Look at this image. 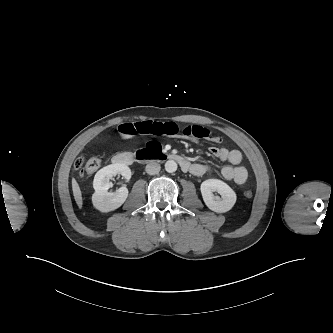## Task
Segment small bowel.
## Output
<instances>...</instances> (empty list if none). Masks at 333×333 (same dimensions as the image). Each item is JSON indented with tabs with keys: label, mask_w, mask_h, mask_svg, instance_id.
Instances as JSON below:
<instances>
[{
	"label": "small bowel",
	"mask_w": 333,
	"mask_h": 333,
	"mask_svg": "<svg viewBox=\"0 0 333 333\" xmlns=\"http://www.w3.org/2000/svg\"><path fill=\"white\" fill-rule=\"evenodd\" d=\"M117 134L124 140L132 139L138 135H165L169 137L182 138L194 143L200 139H206L214 143L221 141L220 136L212 133L209 129L199 125L180 126L174 122L144 121L122 124L117 128ZM210 153L221 161H228L230 165L221 169V175L225 180L234 181L242 185L248 178L247 169L241 165L242 155L238 150H228L220 147H210ZM209 170L203 164H193L191 173L195 176H202Z\"/></svg>",
	"instance_id": "c3829d8e"
}]
</instances>
